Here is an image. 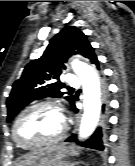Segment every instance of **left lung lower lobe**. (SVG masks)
Here are the masks:
<instances>
[{
    "mask_svg": "<svg viewBox=\"0 0 135 166\" xmlns=\"http://www.w3.org/2000/svg\"><path fill=\"white\" fill-rule=\"evenodd\" d=\"M92 64H95L97 69L99 70V61L97 57L93 58L91 61ZM72 107L74 112H78V109L75 107V100L72 103ZM109 107L106 103L102 105V112L105 116L108 115ZM106 126H107V119L106 117L103 120L102 126L98 127L94 134L85 142L81 143L82 146L96 149L99 151H103L105 148V141H106ZM67 142L77 141L76 135L71 136L66 140Z\"/></svg>",
    "mask_w": 135,
    "mask_h": 166,
    "instance_id": "1",
    "label": "left lung lower lobe"
}]
</instances>
